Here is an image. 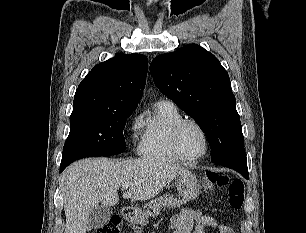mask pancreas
<instances>
[{"label":"pancreas","instance_id":"obj_1","mask_svg":"<svg viewBox=\"0 0 306 233\" xmlns=\"http://www.w3.org/2000/svg\"><path fill=\"white\" fill-rule=\"evenodd\" d=\"M184 200L174 198L173 196H160L151 200L145 207H148V216L156 217L160 214L162 209L165 208H177L182 206ZM151 210V211H150ZM147 221L142 222V226H146Z\"/></svg>","mask_w":306,"mask_h":233}]
</instances>
